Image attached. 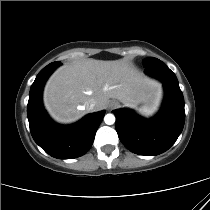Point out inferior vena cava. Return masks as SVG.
I'll list each match as a JSON object with an SVG mask.
<instances>
[{
  "label": "inferior vena cava",
  "mask_w": 210,
  "mask_h": 210,
  "mask_svg": "<svg viewBox=\"0 0 210 210\" xmlns=\"http://www.w3.org/2000/svg\"><path fill=\"white\" fill-rule=\"evenodd\" d=\"M95 105H96V102H95V100H93V99L89 100V101L86 103V107H87L89 110H91V111L94 109Z\"/></svg>",
  "instance_id": "602c4592"
}]
</instances>
